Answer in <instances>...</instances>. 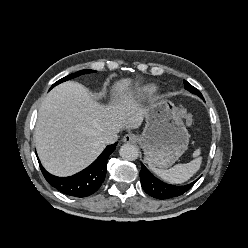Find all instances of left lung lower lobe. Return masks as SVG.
Masks as SVG:
<instances>
[{
    "mask_svg": "<svg viewBox=\"0 0 248 248\" xmlns=\"http://www.w3.org/2000/svg\"><path fill=\"white\" fill-rule=\"evenodd\" d=\"M141 186L147 194L157 199L177 197L188 191L196 181L184 186H175L157 179L142 163L140 172Z\"/></svg>",
    "mask_w": 248,
    "mask_h": 248,
    "instance_id": "left-lung-lower-lobe-1",
    "label": "left lung lower lobe"
}]
</instances>
